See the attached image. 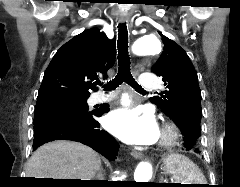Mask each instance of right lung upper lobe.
I'll return each instance as SVG.
<instances>
[{"mask_svg": "<svg viewBox=\"0 0 240 187\" xmlns=\"http://www.w3.org/2000/svg\"><path fill=\"white\" fill-rule=\"evenodd\" d=\"M116 58L115 40L97 28L85 30L65 43L48 65L40 86L36 106L52 101L88 98L94 80L106 78Z\"/></svg>", "mask_w": 240, "mask_h": 187, "instance_id": "right-lung-upper-lobe-1", "label": "right lung upper lobe"}]
</instances>
